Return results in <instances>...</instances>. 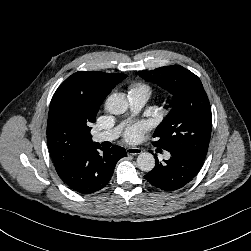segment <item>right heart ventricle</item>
I'll use <instances>...</instances> for the list:
<instances>
[{"label": "right heart ventricle", "instance_id": "right-heart-ventricle-1", "mask_svg": "<svg viewBox=\"0 0 251 251\" xmlns=\"http://www.w3.org/2000/svg\"><path fill=\"white\" fill-rule=\"evenodd\" d=\"M130 91H146L149 94V96L151 94L150 87L145 84H137V85L133 86Z\"/></svg>", "mask_w": 251, "mask_h": 251}]
</instances>
